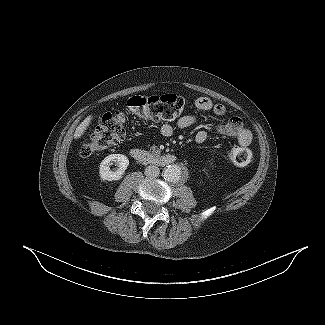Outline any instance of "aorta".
I'll use <instances>...</instances> for the list:
<instances>
[{"instance_id":"1","label":"aorta","mask_w":325,"mask_h":325,"mask_svg":"<svg viewBox=\"0 0 325 325\" xmlns=\"http://www.w3.org/2000/svg\"><path fill=\"white\" fill-rule=\"evenodd\" d=\"M164 179L176 183L182 178V169L178 165H169L163 171Z\"/></svg>"}]
</instances>
